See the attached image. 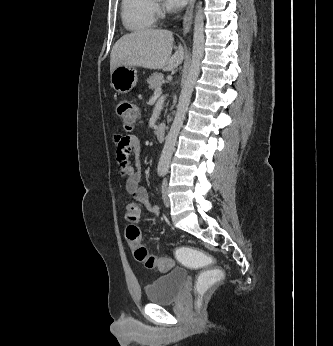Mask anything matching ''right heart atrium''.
Segmentation results:
<instances>
[{
	"instance_id": "right-heart-atrium-1",
	"label": "right heart atrium",
	"mask_w": 333,
	"mask_h": 346,
	"mask_svg": "<svg viewBox=\"0 0 333 346\" xmlns=\"http://www.w3.org/2000/svg\"><path fill=\"white\" fill-rule=\"evenodd\" d=\"M154 11L155 14H159L161 11L160 5L158 3H154Z\"/></svg>"
}]
</instances>
